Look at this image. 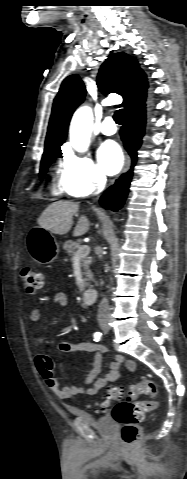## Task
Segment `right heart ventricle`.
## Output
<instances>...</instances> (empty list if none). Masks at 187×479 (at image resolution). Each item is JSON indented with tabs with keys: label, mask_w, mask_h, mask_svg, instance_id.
<instances>
[{
	"label": "right heart ventricle",
	"mask_w": 187,
	"mask_h": 479,
	"mask_svg": "<svg viewBox=\"0 0 187 479\" xmlns=\"http://www.w3.org/2000/svg\"><path fill=\"white\" fill-rule=\"evenodd\" d=\"M60 184H61V183H60ZM61 187H62V186H61ZM61 187H60L59 185H54L53 191H54L55 193H59V192L61 191Z\"/></svg>",
	"instance_id": "obj_1"
}]
</instances>
